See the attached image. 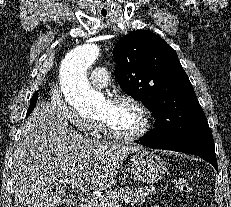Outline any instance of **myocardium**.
<instances>
[{
	"mask_svg": "<svg viewBox=\"0 0 231 207\" xmlns=\"http://www.w3.org/2000/svg\"><path fill=\"white\" fill-rule=\"evenodd\" d=\"M107 102L110 104H120V103H129L135 106L142 114L143 125L140 130L133 134H122L114 131L106 121L102 119H97V123L100 127L103 135L111 140L120 141V142H132L139 140L140 138L146 136L152 128V115L149 108L139 99L126 94H118L110 96L107 99Z\"/></svg>",
	"mask_w": 231,
	"mask_h": 207,
	"instance_id": "obj_1",
	"label": "myocardium"
}]
</instances>
